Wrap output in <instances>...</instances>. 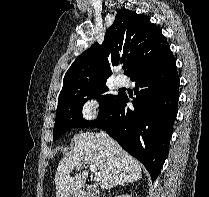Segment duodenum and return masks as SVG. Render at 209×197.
<instances>
[{"label":"duodenum","instance_id":"410a0bca","mask_svg":"<svg viewBox=\"0 0 209 197\" xmlns=\"http://www.w3.org/2000/svg\"><path fill=\"white\" fill-rule=\"evenodd\" d=\"M80 195L82 197H99L95 187L88 184H84L80 187Z\"/></svg>","mask_w":209,"mask_h":197}]
</instances>
